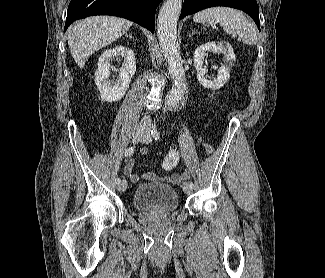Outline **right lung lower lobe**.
<instances>
[{"instance_id":"right-lung-lower-lobe-1","label":"right lung lower lobe","mask_w":325,"mask_h":278,"mask_svg":"<svg viewBox=\"0 0 325 278\" xmlns=\"http://www.w3.org/2000/svg\"><path fill=\"white\" fill-rule=\"evenodd\" d=\"M162 0H71L64 32L75 20L94 15L119 16L155 30V11Z\"/></svg>"}]
</instances>
